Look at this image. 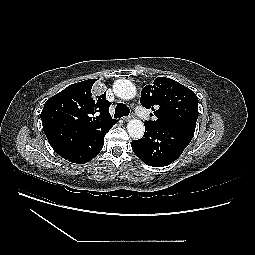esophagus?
<instances>
[{
	"label": "esophagus",
	"mask_w": 255,
	"mask_h": 255,
	"mask_svg": "<svg viewBox=\"0 0 255 255\" xmlns=\"http://www.w3.org/2000/svg\"><path fill=\"white\" fill-rule=\"evenodd\" d=\"M132 118H133V115H129V116L123 117V120H124V121H129V120L132 119Z\"/></svg>",
	"instance_id": "1"
}]
</instances>
